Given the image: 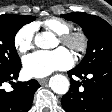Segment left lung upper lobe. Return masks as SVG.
<instances>
[{
	"instance_id": "1",
	"label": "left lung upper lobe",
	"mask_w": 112,
	"mask_h": 112,
	"mask_svg": "<svg viewBox=\"0 0 112 112\" xmlns=\"http://www.w3.org/2000/svg\"><path fill=\"white\" fill-rule=\"evenodd\" d=\"M63 18L80 25L88 38L87 53L76 66L89 70L96 66L112 63V26L102 18L84 12L62 14Z\"/></svg>"
}]
</instances>
